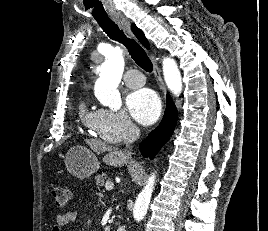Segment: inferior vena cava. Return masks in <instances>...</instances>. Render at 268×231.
I'll use <instances>...</instances> for the list:
<instances>
[{
	"mask_svg": "<svg viewBox=\"0 0 268 231\" xmlns=\"http://www.w3.org/2000/svg\"><path fill=\"white\" fill-rule=\"evenodd\" d=\"M132 132H133L134 137H138L140 134V130L137 127H133Z\"/></svg>",
	"mask_w": 268,
	"mask_h": 231,
	"instance_id": "inferior-vena-cava-1",
	"label": "inferior vena cava"
}]
</instances>
